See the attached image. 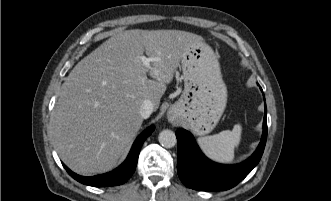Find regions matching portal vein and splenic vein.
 <instances>
[{
    "mask_svg": "<svg viewBox=\"0 0 331 201\" xmlns=\"http://www.w3.org/2000/svg\"><path fill=\"white\" fill-rule=\"evenodd\" d=\"M140 58H141V60L143 62V65L145 67H149L151 62H154V61L158 60V58H156V57H146V56H143V55Z\"/></svg>",
    "mask_w": 331,
    "mask_h": 201,
    "instance_id": "obj_1",
    "label": "portal vein and splenic vein"
}]
</instances>
